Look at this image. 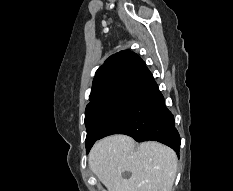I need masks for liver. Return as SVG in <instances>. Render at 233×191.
Returning <instances> with one entry per match:
<instances>
[{
    "label": "liver",
    "instance_id": "1",
    "mask_svg": "<svg viewBox=\"0 0 233 191\" xmlns=\"http://www.w3.org/2000/svg\"><path fill=\"white\" fill-rule=\"evenodd\" d=\"M88 164L108 191H172L177 173L175 152L158 142L136 148L133 138L112 135L92 147ZM130 178L122 177L123 172Z\"/></svg>",
    "mask_w": 233,
    "mask_h": 191
}]
</instances>
